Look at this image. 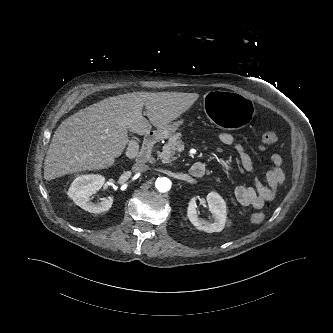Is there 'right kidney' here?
Wrapping results in <instances>:
<instances>
[{"instance_id": "obj_1", "label": "right kidney", "mask_w": 333, "mask_h": 333, "mask_svg": "<svg viewBox=\"0 0 333 333\" xmlns=\"http://www.w3.org/2000/svg\"><path fill=\"white\" fill-rule=\"evenodd\" d=\"M105 183V178L99 174L78 176L68 190V196L75 204L90 213L108 211L113 204V197L104 198L95 204L90 201V196L98 191Z\"/></svg>"}]
</instances>
